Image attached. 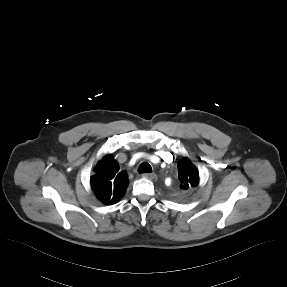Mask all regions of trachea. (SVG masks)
<instances>
[{
    "label": "trachea",
    "instance_id": "3493384b",
    "mask_svg": "<svg viewBox=\"0 0 287 287\" xmlns=\"http://www.w3.org/2000/svg\"><path fill=\"white\" fill-rule=\"evenodd\" d=\"M152 167L149 163L143 162L138 167V173H151Z\"/></svg>",
    "mask_w": 287,
    "mask_h": 287
}]
</instances>
